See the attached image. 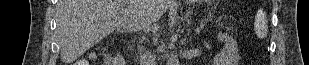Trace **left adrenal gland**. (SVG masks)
<instances>
[{
	"label": "left adrenal gland",
	"mask_w": 309,
	"mask_h": 65,
	"mask_svg": "<svg viewBox=\"0 0 309 65\" xmlns=\"http://www.w3.org/2000/svg\"><path fill=\"white\" fill-rule=\"evenodd\" d=\"M200 28H201V27H197V28L195 29V32H199ZM190 33H191V32H190V29H189L188 34H190Z\"/></svg>",
	"instance_id": "a2214340"
}]
</instances>
